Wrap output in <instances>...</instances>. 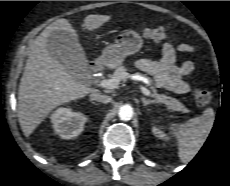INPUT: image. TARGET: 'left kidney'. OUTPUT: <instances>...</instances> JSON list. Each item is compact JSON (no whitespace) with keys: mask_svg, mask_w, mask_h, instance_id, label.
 Listing matches in <instances>:
<instances>
[{"mask_svg":"<svg viewBox=\"0 0 230 186\" xmlns=\"http://www.w3.org/2000/svg\"><path fill=\"white\" fill-rule=\"evenodd\" d=\"M153 135L161 140H168L167 135L157 127L152 128Z\"/></svg>","mask_w":230,"mask_h":186,"instance_id":"1","label":"left kidney"}]
</instances>
